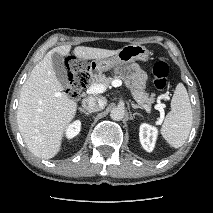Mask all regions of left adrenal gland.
<instances>
[{
    "mask_svg": "<svg viewBox=\"0 0 213 213\" xmlns=\"http://www.w3.org/2000/svg\"><path fill=\"white\" fill-rule=\"evenodd\" d=\"M131 106H132L133 109H138V108L142 109L141 106L134 104V102H131Z\"/></svg>",
    "mask_w": 213,
    "mask_h": 213,
    "instance_id": "a2214340",
    "label": "left adrenal gland"
}]
</instances>
